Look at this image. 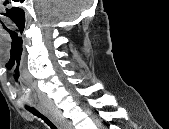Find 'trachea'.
I'll return each instance as SVG.
<instances>
[{
	"instance_id": "trachea-1",
	"label": "trachea",
	"mask_w": 169,
	"mask_h": 129,
	"mask_svg": "<svg viewBox=\"0 0 169 129\" xmlns=\"http://www.w3.org/2000/svg\"><path fill=\"white\" fill-rule=\"evenodd\" d=\"M26 109L31 112L33 115L37 116L38 118H41L51 129H57L56 126L41 112H39L37 109L33 107H26Z\"/></svg>"
}]
</instances>
